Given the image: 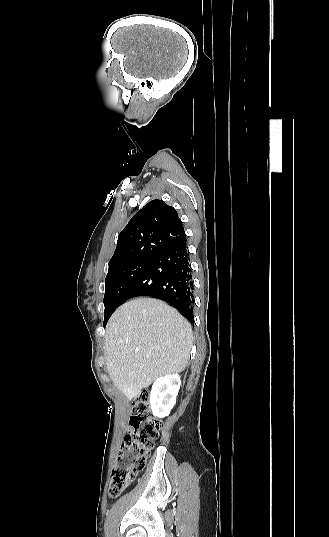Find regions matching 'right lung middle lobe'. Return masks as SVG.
I'll list each match as a JSON object with an SVG mask.
<instances>
[{
	"label": "right lung middle lobe",
	"instance_id": "dd1d6c3e",
	"mask_svg": "<svg viewBox=\"0 0 329 537\" xmlns=\"http://www.w3.org/2000/svg\"><path fill=\"white\" fill-rule=\"evenodd\" d=\"M151 262L149 259L134 260L108 271L105 280L104 327L114 309L121 304L127 290Z\"/></svg>",
	"mask_w": 329,
	"mask_h": 537
}]
</instances>
